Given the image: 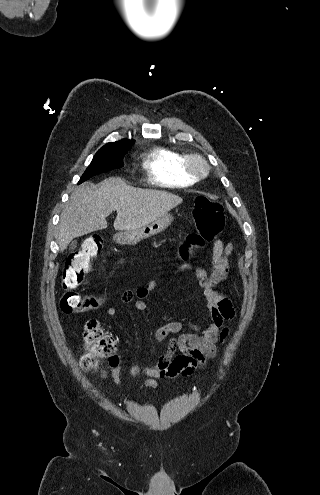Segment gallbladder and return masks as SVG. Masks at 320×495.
Segmentation results:
<instances>
[{
  "mask_svg": "<svg viewBox=\"0 0 320 495\" xmlns=\"http://www.w3.org/2000/svg\"><path fill=\"white\" fill-rule=\"evenodd\" d=\"M76 247V242L75 241H72L69 245V249L70 250H73L74 248Z\"/></svg>",
  "mask_w": 320,
  "mask_h": 495,
  "instance_id": "1",
  "label": "gallbladder"
}]
</instances>
